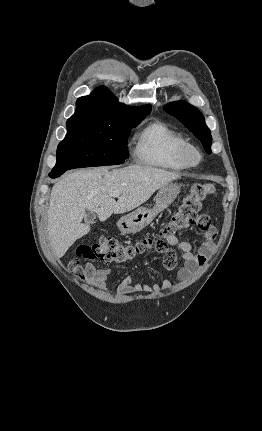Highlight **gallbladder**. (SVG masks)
<instances>
[{
  "instance_id": "obj_1",
  "label": "gallbladder",
  "mask_w": 262,
  "mask_h": 431,
  "mask_svg": "<svg viewBox=\"0 0 262 431\" xmlns=\"http://www.w3.org/2000/svg\"><path fill=\"white\" fill-rule=\"evenodd\" d=\"M96 219V215L93 212H88L84 216V220L86 224H92Z\"/></svg>"
}]
</instances>
